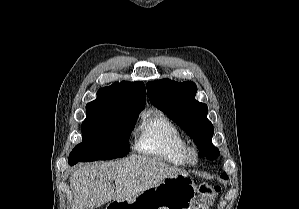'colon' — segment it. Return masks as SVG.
Segmentation results:
<instances>
[{
    "label": "colon",
    "instance_id": "5ec220e1",
    "mask_svg": "<svg viewBox=\"0 0 299 209\" xmlns=\"http://www.w3.org/2000/svg\"><path fill=\"white\" fill-rule=\"evenodd\" d=\"M221 186L212 183H202L198 189V198L192 209H212L215 198L220 194Z\"/></svg>",
    "mask_w": 299,
    "mask_h": 209
}]
</instances>
